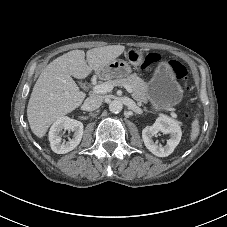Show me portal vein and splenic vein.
I'll use <instances>...</instances> for the list:
<instances>
[{
    "label": "portal vein and splenic vein",
    "instance_id": "obj_1",
    "mask_svg": "<svg viewBox=\"0 0 227 227\" xmlns=\"http://www.w3.org/2000/svg\"><path fill=\"white\" fill-rule=\"evenodd\" d=\"M123 87L130 93H132V89L129 85H123ZM114 86L108 82L97 84L93 87V91L97 94L107 93L111 92L113 90ZM171 116L173 118H176L177 115L174 112H171Z\"/></svg>",
    "mask_w": 227,
    "mask_h": 227
}]
</instances>
